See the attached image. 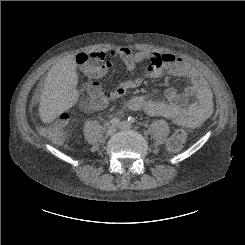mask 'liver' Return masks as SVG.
I'll return each instance as SVG.
<instances>
[{"mask_svg":"<svg viewBox=\"0 0 245 245\" xmlns=\"http://www.w3.org/2000/svg\"><path fill=\"white\" fill-rule=\"evenodd\" d=\"M77 82L73 56H66L51 67L39 104V115L43 123L53 122L75 104L78 98Z\"/></svg>","mask_w":245,"mask_h":245,"instance_id":"6515ba94","label":"liver"}]
</instances>
